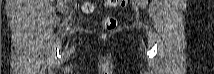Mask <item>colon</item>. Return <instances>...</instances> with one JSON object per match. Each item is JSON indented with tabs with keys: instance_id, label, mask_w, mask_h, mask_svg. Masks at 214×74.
<instances>
[{
	"instance_id": "obj_1",
	"label": "colon",
	"mask_w": 214,
	"mask_h": 74,
	"mask_svg": "<svg viewBox=\"0 0 214 74\" xmlns=\"http://www.w3.org/2000/svg\"><path fill=\"white\" fill-rule=\"evenodd\" d=\"M128 1L127 0H108L105 1V4L108 7H125L127 5ZM93 4L90 2H85L83 4V11L84 12H92L93 11ZM102 25L106 30H114L117 27V19L114 16L111 15H106L103 16L101 19Z\"/></svg>"
}]
</instances>
